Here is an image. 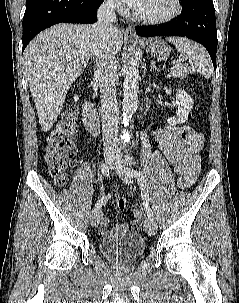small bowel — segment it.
Here are the masks:
<instances>
[{"label": "small bowel", "mask_w": 239, "mask_h": 303, "mask_svg": "<svg viewBox=\"0 0 239 303\" xmlns=\"http://www.w3.org/2000/svg\"><path fill=\"white\" fill-rule=\"evenodd\" d=\"M154 136L162 153L178 175V186L182 189L189 188L196 181L200 171V153L205 145L203 135L189 126H165L157 129ZM135 215L140 220L141 212L136 211ZM135 223L136 220L110 229L109 219L101 217L99 233L103 237H110L133 232L136 230Z\"/></svg>", "instance_id": "c3829d8e"}]
</instances>
